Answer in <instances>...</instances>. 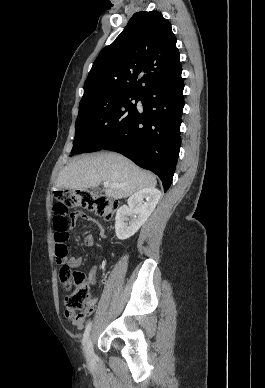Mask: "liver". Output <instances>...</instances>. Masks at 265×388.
I'll return each instance as SVG.
<instances>
[{
  "label": "liver",
  "mask_w": 265,
  "mask_h": 388,
  "mask_svg": "<svg viewBox=\"0 0 265 388\" xmlns=\"http://www.w3.org/2000/svg\"><path fill=\"white\" fill-rule=\"evenodd\" d=\"M101 182H110L118 186H108L106 196L121 200L143 188H155L157 182L153 174L140 170L133 162L120 154H100V156H82L74 158L60 172L55 190H86L100 186Z\"/></svg>",
  "instance_id": "obj_1"
}]
</instances>
